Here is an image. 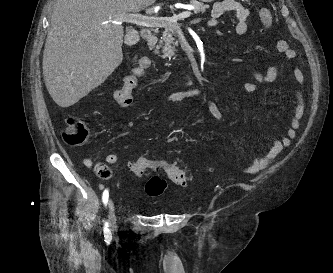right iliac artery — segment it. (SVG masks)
<instances>
[{"label": "right iliac artery", "mask_w": 333, "mask_h": 273, "mask_svg": "<svg viewBox=\"0 0 333 273\" xmlns=\"http://www.w3.org/2000/svg\"><path fill=\"white\" fill-rule=\"evenodd\" d=\"M108 198H109V192H108L107 189H105L104 192H103V196H102V200H103V203H104L105 206L108 203ZM103 231H104V238L106 240H110L112 238V235H111V232L108 228V223L107 222H105Z\"/></svg>", "instance_id": "right-iliac-artery-1"}]
</instances>
